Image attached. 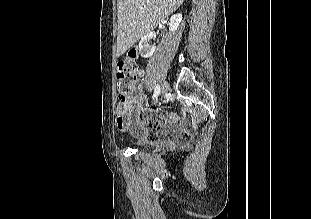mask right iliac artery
Masks as SVG:
<instances>
[{"label":"right iliac artery","instance_id":"obj_1","mask_svg":"<svg viewBox=\"0 0 311 219\" xmlns=\"http://www.w3.org/2000/svg\"><path fill=\"white\" fill-rule=\"evenodd\" d=\"M160 94V86L156 85L155 89H154V95H153V99L157 98Z\"/></svg>","mask_w":311,"mask_h":219}]
</instances>
